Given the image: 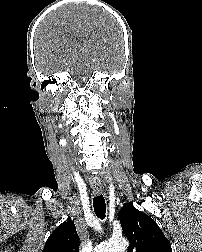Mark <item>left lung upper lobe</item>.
<instances>
[{"label": "left lung upper lobe", "instance_id": "obj_1", "mask_svg": "<svg viewBox=\"0 0 202 252\" xmlns=\"http://www.w3.org/2000/svg\"><path fill=\"white\" fill-rule=\"evenodd\" d=\"M123 233L130 241L128 252H172L170 242L156 222L132 203L119 212Z\"/></svg>", "mask_w": 202, "mask_h": 252}]
</instances>
